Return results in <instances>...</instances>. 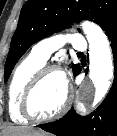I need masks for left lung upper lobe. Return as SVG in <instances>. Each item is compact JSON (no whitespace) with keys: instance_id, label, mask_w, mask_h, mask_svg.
Instances as JSON below:
<instances>
[{"instance_id":"obj_1","label":"left lung upper lobe","mask_w":117,"mask_h":136,"mask_svg":"<svg viewBox=\"0 0 117 136\" xmlns=\"http://www.w3.org/2000/svg\"><path fill=\"white\" fill-rule=\"evenodd\" d=\"M116 16L117 0H28L21 9L18 26L11 40L4 81L34 43L69 28L73 21L83 19L93 20L105 30ZM72 69L75 75L80 65L73 64Z\"/></svg>"}]
</instances>
